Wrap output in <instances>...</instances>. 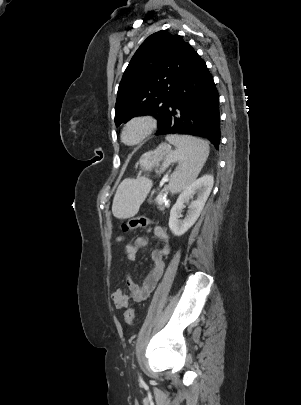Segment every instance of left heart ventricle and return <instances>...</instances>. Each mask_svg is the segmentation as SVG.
Segmentation results:
<instances>
[{"label": "left heart ventricle", "instance_id": "1", "mask_svg": "<svg viewBox=\"0 0 301 405\" xmlns=\"http://www.w3.org/2000/svg\"><path fill=\"white\" fill-rule=\"evenodd\" d=\"M139 128L138 127H132L131 129L128 130V132L126 133V140L128 142H132L134 141L138 135H139Z\"/></svg>", "mask_w": 301, "mask_h": 405}]
</instances>
